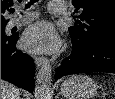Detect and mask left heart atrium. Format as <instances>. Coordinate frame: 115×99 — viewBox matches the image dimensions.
Masks as SVG:
<instances>
[{"instance_id": "left-heart-atrium-1", "label": "left heart atrium", "mask_w": 115, "mask_h": 99, "mask_svg": "<svg viewBox=\"0 0 115 99\" xmlns=\"http://www.w3.org/2000/svg\"><path fill=\"white\" fill-rule=\"evenodd\" d=\"M22 47L34 53L54 52L60 45V38L55 28L47 22H38L24 32Z\"/></svg>"}]
</instances>
